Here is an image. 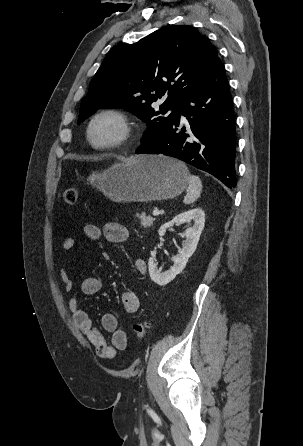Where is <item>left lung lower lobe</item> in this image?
<instances>
[{"label":"left lung lower lobe","instance_id":"1","mask_svg":"<svg viewBox=\"0 0 303 446\" xmlns=\"http://www.w3.org/2000/svg\"><path fill=\"white\" fill-rule=\"evenodd\" d=\"M180 115L189 127L178 128ZM137 154H164L204 170L227 187L237 185L236 134L231 94L222 61L191 88L174 107L170 123Z\"/></svg>","mask_w":303,"mask_h":446}]
</instances>
